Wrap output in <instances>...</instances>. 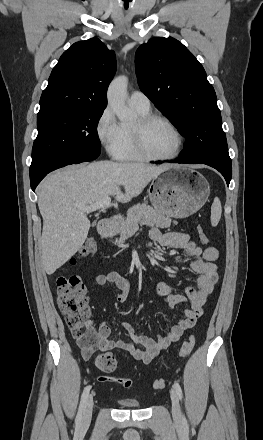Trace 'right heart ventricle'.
<instances>
[{
    "instance_id": "right-heart-ventricle-1",
    "label": "right heart ventricle",
    "mask_w": 263,
    "mask_h": 440,
    "mask_svg": "<svg viewBox=\"0 0 263 440\" xmlns=\"http://www.w3.org/2000/svg\"><path fill=\"white\" fill-rule=\"evenodd\" d=\"M140 116L149 114L148 111H139L136 110ZM124 130V139L123 143L115 155L117 159L124 161H132V160H140L141 158L136 154L133 148V141L130 132V127L122 126Z\"/></svg>"
}]
</instances>
